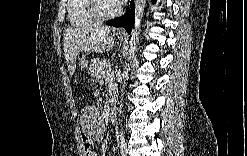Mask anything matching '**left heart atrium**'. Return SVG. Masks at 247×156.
Returning <instances> with one entry per match:
<instances>
[{
	"label": "left heart atrium",
	"instance_id": "1",
	"mask_svg": "<svg viewBox=\"0 0 247 156\" xmlns=\"http://www.w3.org/2000/svg\"><path fill=\"white\" fill-rule=\"evenodd\" d=\"M113 2H114L116 5H122V4L125 3L124 0H114Z\"/></svg>",
	"mask_w": 247,
	"mask_h": 156
}]
</instances>
